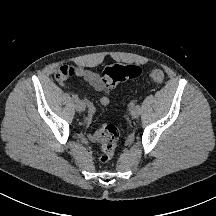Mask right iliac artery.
<instances>
[{
    "label": "right iliac artery",
    "mask_w": 216,
    "mask_h": 216,
    "mask_svg": "<svg viewBox=\"0 0 216 216\" xmlns=\"http://www.w3.org/2000/svg\"><path fill=\"white\" fill-rule=\"evenodd\" d=\"M72 98H73L74 101H77V100H78V96H77L76 94H73V95H72Z\"/></svg>",
    "instance_id": "right-iliac-artery-1"
}]
</instances>
